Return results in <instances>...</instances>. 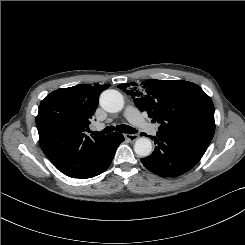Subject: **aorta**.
<instances>
[{
	"label": "aorta",
	"instance_id": "aorta-1",
	"mask_svg": "<svg viewBox=\"0 0 245 245\" xmlns=\"http://www.w3.org/2000/svg\"><path fill=\"white\" fill-rule=\"evenodd\" d=\"M101 107L110 113L120 112L124 107V98L120 92L113 89H108L100 95ZM134 151L141 157L150 155L152 151V143L148 138L141 137L135 141Z\"/></svg>",
	"mask_w": 245,
	"mask_h": 245
}]
</instances>
